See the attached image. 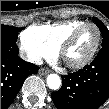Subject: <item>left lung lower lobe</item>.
<instances>
[{"label":"left lung lower lobe","mask_w":109,"mask_h":109,"mask_svg":"<svg viewBox=\"0 0 109 109\" xmlns=\"http://www.w3.org/2000/svg\"><path fill=\"white\" fill-rule=\"evenodd\" d=\"M63 85L51 94L58 109H97L109 98V45L77 72L62 76Z\"/></svg>","instance_id":"0a47b994"}]
</instances>
